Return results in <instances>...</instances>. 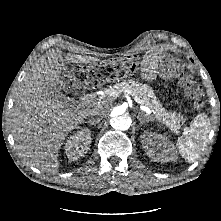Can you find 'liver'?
Here are the masks:
<instances>
[{
	"mask_svg": "<svg viewBox=\"0 0 221 221\" xmlns=\"http://www.w3.org/2000/svg\"><path fill=\"white\" fill-rule=\"evenodd\" d=\"M98 60L75 54L64 59L60 51L52 50L33 64L18 86L9 127L19 155L31 166L56 173L61 145L93 109H74L48 93L51 88L65 90L60 81L62 70H67L65 61L88 64ZM95 107L102 108L104 114L108 109L106 104Z\"/></svg>",
	"mask_w": 221,
	"mask_h": 221,
	"instance_id": "6515ba94",
	"label": "liver"
}]
</instances>
